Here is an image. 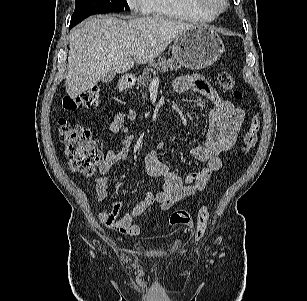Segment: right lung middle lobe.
<instances>
[{
    "mask_svg": "<svg viewBox=\"0 0 307 301\" xmlns=\"http://www.w3.org/2000/svg\"><path fill=\"white\" fill-rule=\"evenodd\" d=\"M124 9H128L126 0H76L70 23L78 24L93 14H104Z\"/></svg>",
    "mask_w": 307,
    "mask_h": 301,
    "instance_id": "1",
    "label": "right lung middle lobe"
}]
</instances>
